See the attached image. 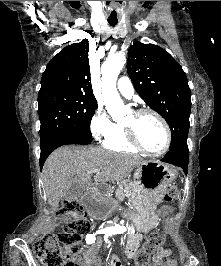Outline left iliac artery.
Wrapping results in <instances>:
<instances>
[{
	"label": "left iliac artery",
	"mask_w": 221,
	"mask_h": 266,
	"mask_svg": "<svg viewBox=\"0 0 221 266\" xmlns=\"http://www.w3.org/2000/svg\"><path fill=\"white\" fill-rule=\"evenodd\" d=\"M112 234H116L115 232H111V231H108L107 233H105V236H104V240L106 242H108V236H111ZM109 243V242H108Z\"/></svg>",
	"instance_id": "44dca946"
}]
</instances>
